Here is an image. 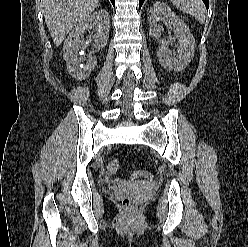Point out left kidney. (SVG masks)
<instances>
[{"label":"left kidney","instance_id":"left-kidney-1","mask_svg":"<svg viewBox=\"0 0 248 247\" xmlns=\"http://www.w3.org/2000/svg\"><path fill=\"white\" fill-rule=\"evenodd\" d=\"M149 34L159 38L162 30L160 21H168L173 26L174 38L166 42L159 41L157 57L160 64L167 70L181 71L191 61L195 53V39L187 25L164 3H156L150 9ZM177 39V52L168 48L169 42Z\"/></svg>","mask_w":248,"mask_h":247}]
</instances>
